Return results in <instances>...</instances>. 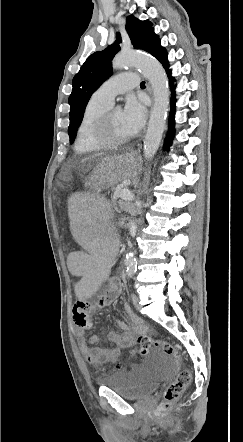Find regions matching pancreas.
<instances>
[{
    "label": "pancreas",
    "mask_w": 243,
    "mask_h": 442,
    "mask_svg": "<svg viewBox=\"0 0 243 442\" xmlns=\"http://www.w3.org/2000/svg\"><path fill=\"white\" fill-rule=\"evenodd\" d=\"M124 204H125V203H124L123 201H120V202H119V205H120L121 207L124 206Z\"/></svg>",
    "instance_id": "cf45deb5"
}]
</instances>
